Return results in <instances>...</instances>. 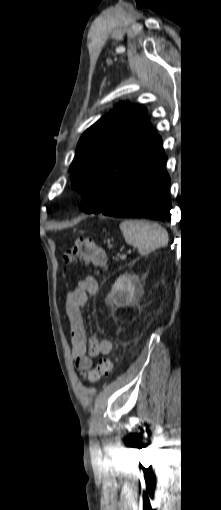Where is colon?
<instances>
[{"label": "colon", "mask_w": 221, "mask_h": 510, "mask_svg": "<svg viewBox=\"0 0 221 510\" xmlns=\"http://www.w3.org/2000/svg\"><path fill=\"white\" fill-rule=\"evenodd\" d=\"M63 259L66 263L79 262L97 267H105L108 262L106 251L86 238L78 239L72 247L68 248ZM113 362L112 357L100 359L96 367L85 375V380L92 383L108 375L112 370Z\"/></svg>", "instance_id": "obj_1"}]
</instances>
